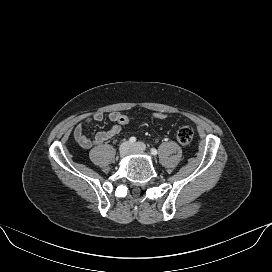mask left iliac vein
<instances>
[{"instance_id":"4c4485c4","label":"left iliac vein","mask_w":272,"mask_h":272,"mask_svg":"<svg viewBox=\"0 0 272 272\" xmlns=\"http://www.w3.org/2000/svg\"><path fill=\"white\" fill-rule=\"evenodd\" d=\"M132 150L134 152L143 153L146 150V146L142 142H137V143L132 145Z\"/></svg>"}]
</instances>
